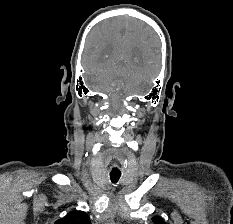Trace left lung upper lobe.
<instances>
[{
	"instance_id": "left-lung-upper-lobe-1",
	"label": "left lung upper lobe",
	"mask_w": 233,
	"mask_h": 224,
	"mask_svg": "<svg viewBox=\"0 0 233 224\" xmlns=\"http://www.w3.org/2000/svg\"><path fill=\"white\" fill-rule=\"evenodd\" d=\"M152 221L154 222V224H166L165 221L159 216H154L152 218Z\"/></svg>"
}]
</instances>
